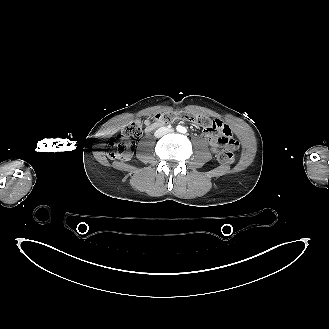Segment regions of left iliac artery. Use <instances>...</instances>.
<instances>
[{
    "label": "left iliac artery",
    "mask_w": 329,
    "mask_h": 329,
    "mask_svg": "<svg viewBox=\"0 0 329 329\" xmlns=\"http://www.w3.org/2000/svg\"><path fill=\"white\" fill-rule=\"evenodd\" d=\"M187 132V129L186 128H183L182 129V133H186Z\"/></svg>",
    "instance_id": "1"
}]
</instances>
